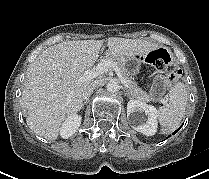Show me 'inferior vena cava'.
<instances>
[{
    "label": "inferior vena cava",
    "instance_id": "602c4592",
    "mask_svg": "<svg viewBox=\"0 0 209 179\" xmlns=\"http://www.w3.org/2000/svg\"><path fill=\"white\" fill-rule=\"evenodd\" d=\"M99 86V81H94L92 82L88 88L84 91L82 98L83 100L87 101L90 97V95L92 94V92L94 91V89H96Z\"/></svg>",
    "mask_w": 209,
    "mask_h": 179
}]
</instances>
